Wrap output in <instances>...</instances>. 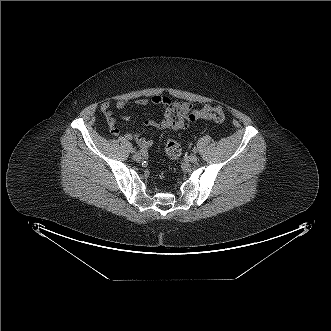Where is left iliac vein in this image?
<instances>
[{
    "label": "left iliac vein",
    "mask_w": 331,
    "mask_h": 331,
    "mask_svg": "<svg viewBox=\"0 0 331 331\" xmlns=\"http://www.w3.org/2000/svg\"><path fill=\"white\" fill-rule=\"evenodd\" d=\"M188 160H189L191 163H195V162H197L198 157H197V155H195V154H191V155L188 156Z\"/></svg>",
    "instance_id": "obj_1"
}]
</instances>
